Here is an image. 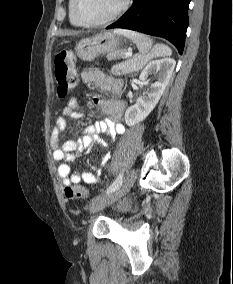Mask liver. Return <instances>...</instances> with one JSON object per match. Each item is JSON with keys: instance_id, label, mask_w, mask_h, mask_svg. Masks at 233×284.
Here are the masks:
<instances>
[{"instance_id": "1", "label": "liver", "mask_w": 233, "mask_h": 284, "mask_svg": "<svg viewBox=\"0 0 233 284\" xmlns=\"http://www.w3.org/2000/svg\"><path fill=\"white\" fill-rule=\"evenodd\" d=\"M64 35H71V33H65Z\"/></svg>"}]
</instances>
